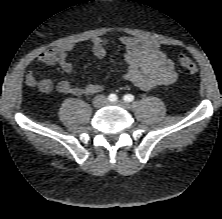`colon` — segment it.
<instances>
[{
    "instance_id": "5ec220e1",
    "label": "colon",
    "mask_w": 222,
    "mask_h": 219,
    "mask_svg": "<svg viewBox=\"0 0 222 219\" xmlns=\"http://www.w3.org/2000/svg\"><path fill=\"white\" fill-rule=\"evenodd\" d=\"M178 62L182 69L188 71L191 74H197L199 71L198 66L186 55H180L178 57Z\"/></svg>"
}]
</instances>
